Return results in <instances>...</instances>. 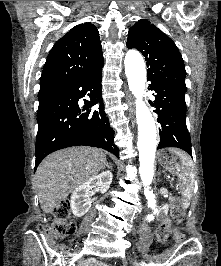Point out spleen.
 <instances>
[{
  "label": "spleen",
  "instance_id": "3e777b00",
  "mask_svg": "<svg viewBox=\"0 0 221 266\" xmlns=\"http://www.w3.org/2000/svg\"><path fill=\"white\" fill-rule=\"evenodd\" d=\"M171 151L178 155L183 164L186 166V170L181 177V194L183 205L188 207L192 198V190L194 186V174L192 173L193 162L187 153L174 148H172Z\"/></svg>",
  "mask_w": 221,
  "mask_h": 266
}]
</instances>
